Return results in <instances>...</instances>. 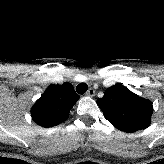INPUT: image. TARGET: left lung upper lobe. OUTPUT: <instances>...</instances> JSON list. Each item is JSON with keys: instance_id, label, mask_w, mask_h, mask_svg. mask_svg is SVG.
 I'll return each instance as SVG.
<instances>
[{"instance_id": "obj_1", "label": "left lung upper lobe", "mask_w": 164, "mask_h": 164, "mask_svg": "<svg viewBox=\"0 0 164 164\" xmlns=\"http://www.w3.org/2000/svg\"><path fill=\"white\" fill-rule=\"evenodd\" d=\"M97 104L105 118L121 131L132 133L150 125L151 101L139 97L120 83L109 87Z\"/></svg>"}]
</instances>
